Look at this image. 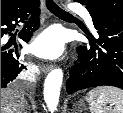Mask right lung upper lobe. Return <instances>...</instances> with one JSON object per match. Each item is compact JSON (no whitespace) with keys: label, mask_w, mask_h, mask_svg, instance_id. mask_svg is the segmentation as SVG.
<instances>
[{"label":"right lung upper lobe","mask_w":123,"mask_h":113,"mask_svg":"<svg viewBox=\"0 0 123 113\" xmlns=\"http://www.w3.org/2000/svg\"><path fill=\"white\" fill-rule=\"evenodd\" d=\"M33 1L38 0H1V14L25 7Z\"/></svg>","instance_id":"right-lung-upper-lobe-1"}]
</instances>
